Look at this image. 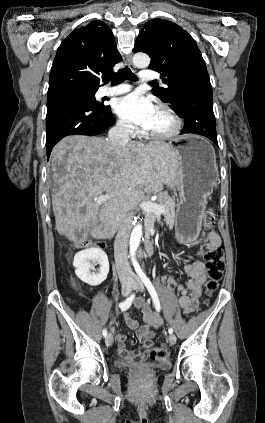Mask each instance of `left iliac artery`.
I'll list each match as a JSON object with an SVG mask.
<instances>
[{
  "mask_svg": "<svg viewBox=\"0 0 265 423\" xmlns=\"http://www.w3.org/2000/svg\"><path fill=\"white\" fill-rule=\"evenodd\" d=\"M134 266H135V270H136L138 276L141 278L142 282L144 283V285L146 286L147 290L149 291V293H150V295L152 297L153 303L155 305L156 310L159 312L160 309H161L160 301H159L158 294H157V292H156L153 284L151 283L150 279L145 275V273L142 271V269H141V267H140V265L138 263H135ZM168 332L170 334H172L173 333V329L170 327L169 330H168Z\"/></svg>",
  "mask_w": 265,
  "mask_h": 423,
  "instance_id": "obj_1",
  "label": "left iliac artery"
}]
</instances>
